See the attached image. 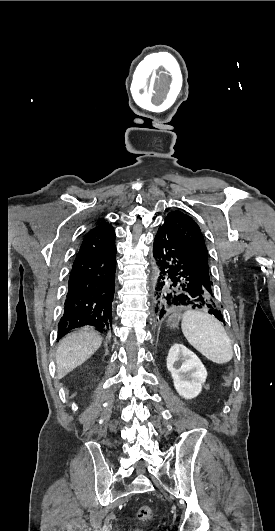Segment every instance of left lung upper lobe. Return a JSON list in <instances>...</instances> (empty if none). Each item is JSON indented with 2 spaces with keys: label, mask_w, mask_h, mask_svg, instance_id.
I'll return each instance as SVG.
<instances>
[{
  "label": "left lung upper lobe",
  "mask_w": 275,
  "mask_h": 531,
  "mask_svg": "<svg viewBox=\"0 0 275 531\" xmlns=\"http://www.w3.org/2000/svg\"><path fill=\"white\" fill-rule=\"evenodd\" d=\"M164 223L173 230L189 257L191 267L202 284L211 292L213 283L209 276L208 252L197 223L178 210L169 213Z\"/></svg>",
  "instance_id": "5c2ea615"
}]
</instances>
